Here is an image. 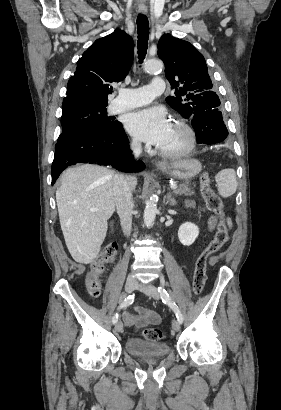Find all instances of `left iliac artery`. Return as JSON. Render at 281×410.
I'll use <instances>...</instances> for the list:
<instances>
[{"instance_id": "1", "label": "left iliac artery", "mask_w": 281, "mask_h": 410, "mask_svg": "<svg viewBox=\"0 0 281 410\" xmlns=\"http://www.w3.org/2000/svg\"><path fill=\"white\" fill-rule=\"evenodd\" d=\"M158 292L160 293L161 299L163 303L167 304L175 313L176 318L179 320L180 323L183 322V316L176 305V303L172 299V293L167 292L166 289H164L162 286L158 287Z\"/></svg>"}]
</instances>
